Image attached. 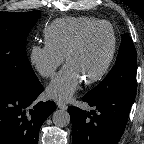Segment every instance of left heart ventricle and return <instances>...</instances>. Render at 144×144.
I'll list each match as a JSON object with an SVG mask.
<instances>
[{
	"instance_id": "obj_1",
	"label": "left heart ventricle",
	"mask_w": 144,
	"mask_h": 144,
	"mask_svg": "<svg viewBox=\"0 0 144 144\" xmlns=\"http://www.w3.org/2000/svg\"><path fill=\"white\" fill-rule=\"evenodd\" d=\"M111 44L110 28L99 27L85 37L68 64L78 71L82 79L90 78L102 68L109 55Z\"/></svg>"
}]
</instances>
